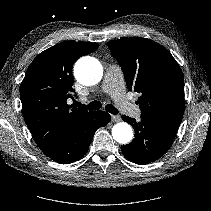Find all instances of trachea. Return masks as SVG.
<instances>
[{
  "label": "trachea",
  "mask_w": 211,
  "mask_h": 211,
  "mask_svg": "<svg viewBox=\"0 0 211 211\" xmlns=\"http://www.w3.org/2000/svg\"><path fill=\"white\" fill-rule=\"evenodd\" d=\"M75 105H76L77 107L84 108V109H86V110H98V109H100L101 106H102V104H101L100 101H93V102H90L88 105H83V104H81V103H79V102H75ZM105 110L108 111V112L111 113V114H114V115L118 114V112H119V111H118L113 105H111V104H107V105L105 106Z\"/></svg>",
  "instance_id": "obj_1"
}]
</instances>
